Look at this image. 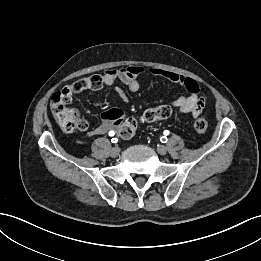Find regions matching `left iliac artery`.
<instances>
[{
	"label": "left iliac artery",
	"mask_w": 261,
	"mask_h": 261,
	"mask_svg": "<svg viewBox=\"0 0 261 261\" xmlns=\"http://www.w3.org/2000/svg\"><path fill=\"white\" fill-rule=\"evenodd\" d=\"M169 134V131L168 130H165L164 131V135H168ZM161 142L162 143H166L167 142V137L164 136V137H161Z\"/></svg>",
	"instance_id": "1"
}]
</instances>
